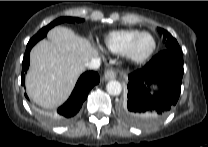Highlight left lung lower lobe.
Returning <instances> with one entry per match:
<instances>
[{"instance_id": "0a47b994", "label": "left lung lower lobe", "mask_w": 208, "mask_h": 147, "mask_svg": "<svg viewBox=\"0 0 208 147\" xmlns=\"http://www.w3.org/2000/svg\"><path fill=\"white\" fill-rule=\"evenodd\" d=\"M182 52L164 50L142 69L128 76V100L120 109L122 118L135 125H144L164 116L176 105L183 77ZM157 83L160 91L151 94L149 86Z\"/></svg>"}]
</instances>
